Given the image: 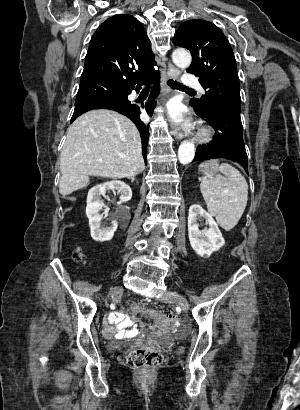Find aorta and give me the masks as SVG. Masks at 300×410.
<instances>
[{
  "instance_id": "obj_1",
  "label": "aorta",
  "mask_w": 300,
  "mask_h": 410,
  "mask_svg": "<svg viewBox=\"0 0 300 410\" xmlns=\"http://www.w3.org/2000/svg\"><path fill=\"white\" fill-rule=\"evenodd\" d=\"M172 60L174 64L181 68L186 69L191 64V54L184 49H176L172 54ZM195 156V145L191 141H183L178 149V159L181 164L185 165L190 163Z\"/></svg>"
}]
</instances>
